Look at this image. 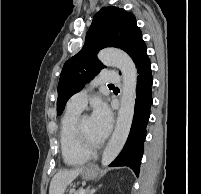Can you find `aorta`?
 Masks as SVG:
<instances>
[{
    "mask_svg": "<svg viewBox=\"0 0 201 194\" xmlns=\"http://www.w3.org/2000/svg\"><path fill=\"white\" fill-rule=\"evenodd\" d=\"M98 59L105 65L119 68L123 81L116 126L101 158V164L107 166L122 150L131 129L136 99L137 69L131 57L118 49H103L98 53Z\"/></svg>",
    "mask_w": 201,
    "mask_h": 194,
    "instance_id": "762f6f07",
    "label": "aorta"
}]
</instances>
